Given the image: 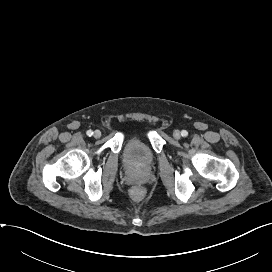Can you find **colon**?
<instances>
[{"label":"colon","mask_w":272,"mask_h":272,"mask_svg":"<svg viewBox=\"0 0 272 272\" xmlns=\"http://www.w3.org/2000/svg\"><path fill=\"white\" fill-rule=\"evenodd\" d=\"M144 195V191L141 187H134L131 190V196L135 200H140Z\"/></svg>","instance_id":"colon-1"}]
</instances>
